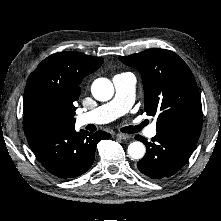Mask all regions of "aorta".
<instances>
[{"instance_id": "aorta-1", "label": "aorta", "mask_w": 221, "mask_h": 221, "mask_svg": "<svg viewBox=\"0 0 221 221\" xmlns=\"http://www.w3.org/2000/svg\"><path fill=\"white\" fill-rule=\"evenodd\" d=\"M93 97L98 101H108L114 94V87L110 80L106 78L96 79L91 87ZM145 146L139 141H135L128 146V154L133 159H141L145 155Z\"/></svg>"}]
</instances>
